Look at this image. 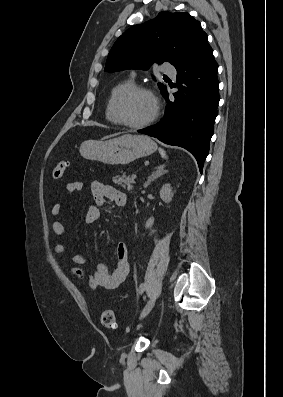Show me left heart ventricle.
Here are the masks:
<instances>
[{
    "label": "left heart ventricle",
    "instance_id": "left-heart-ventricle-1",
    "mask_svg": "<svg viewBox=\"0 0 283 397\" xmlns=\"http://www.w3.org/2000/svg\"><path fill=\"white\" fill-rule=\"evenodd\" d=\"M154 111V103L150 96L138 93L128 98L123 104L124 118L132 123L148 119Z\"/></svg>",
    "mask_w": 283,
    "mask_h": 397
}]
</instances>
